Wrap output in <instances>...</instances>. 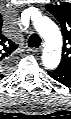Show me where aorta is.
<instances>
[{
    "label": "aorta",
    "instance_id": "1",
    "mask_svg": "<svg viewBox=\"0 0 71 119\" xmlns=\"http://www.w3.org/2000/svg\"><path fill=\"white\" fill-rule=\"evenodd\" d=\"M34 26L46 42L42 63L47 69H55L61 59L62 35L58 26L48 17H41Z\"/></svg>",
    "mask_w": 71,
    "mask_h": 119
}]
</instances>
